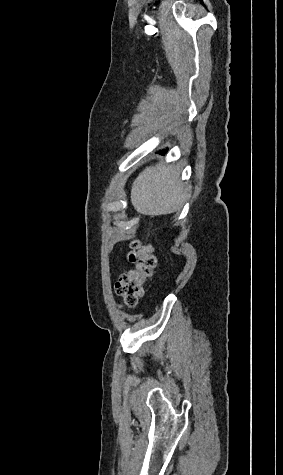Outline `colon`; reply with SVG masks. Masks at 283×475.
<instances>
[{"instance_id":"obj_1","label":"colon","mask_w":283,"mask_h":475,"mask_svg":"<svg viewBox=\"0 0 283 475\" xmlns=\"http://www.w3.org/2000/svg\"><path fill=\"white\" fill-rule=\"evenodd\" d=\"M134 268L126 270L116 282V293L123 299L124 306H137L144 294V285L157 267L153 246L148 242H133L128 256Z\"/></svg>"}]
</instances>
